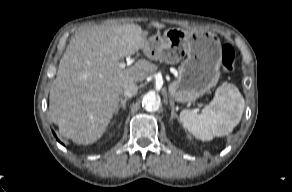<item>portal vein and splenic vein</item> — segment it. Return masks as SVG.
Wrapping results in <instances>:
<instances>
[{"mask_svg": "<svg viewBox=\"0 0 292 192\" xmlns=\"http://www.w3.org/2000/svg\"><path fill=\"white\" fill-rule=\"evenodd\" d=\"M126 66H127V64H126L125 62H120V63H119V67H120L121 69H125Z\"/></svg>", "mask_w": 292, "mask_h": 192, "instance_id": "portal-vein-and-splenic-vein-1", "label": "portal vein and splenic vein"}]
</instances>
